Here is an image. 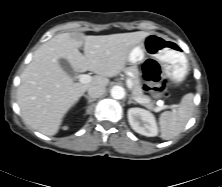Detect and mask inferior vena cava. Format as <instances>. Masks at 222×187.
Wrapping results in <instances>:
<instances>
[{"instance_id":"obj_1","label":"inferior vena cava","mask_w":222,"mask_h":187,"mask_svg":"<svg viewBox=\"0 0 222 187\" xmlns=\"http://www.w3.org/2000/svg\"><path fill=\"white\" fill-rule=\"evenodd\" d=\"M106 89L102 85H95L88 88V95L91 98H99L105 93Z\"/></svg>"}]
</instances>
